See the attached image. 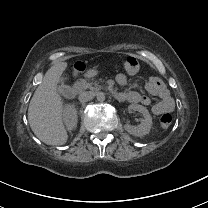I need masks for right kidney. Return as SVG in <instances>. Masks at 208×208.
Listing matches in <instances>:
<instances>
[{
    "instance_id": "obj_1",
    "label": "right kidney",
    "mask_w": 208,
    "mask_h": 208,
    "mask_svg": "<svg viewBox=\"0 0 208 208\" xmlns=\"http://www.w3.org/2000/svg\"><path fill=\"white\" fill-rule=\"evenodd\" d=\"M64 122L69 130L76 128L77 110L73 105H66L64 111Z\"/></svg>"
}]
</instances>
